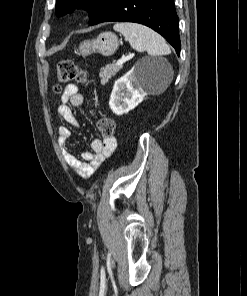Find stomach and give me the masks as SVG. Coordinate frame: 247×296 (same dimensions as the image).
Wrapping results in <instances>:
<instances>
[{
  "mask_svg": "<svg viewBox=\"0 0 247 296\" xmlns=\"http://www.w3.org/2000/svg\"><path fill=\"white\" fill-rule=\"evenodd\" d=\"M119 47L117 36L111 32H103L96 39L85 40L79 45V52L83 57L92 53H100L103 56L114 54Z\"/></svg>",
  "mask_w": 247,
  "mask_h": 296,
  "instance_id": "obj_1",
  "label": "stomach"
}]
</instances>
